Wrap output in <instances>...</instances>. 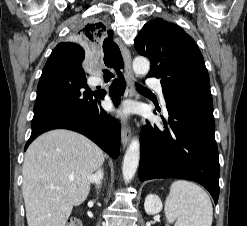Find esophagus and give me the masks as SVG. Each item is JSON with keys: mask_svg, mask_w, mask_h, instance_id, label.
<instances>
[{"mask_svg": "<svg viewBox=\"0 0 247 226\" xmlns=\"http://www.w3.org/2000/svg\"><path fill=\"white\" fill-rule=\"evenodd\" d=\"M119 48L121 50V54L124 60V76L127 83L125 98L131 99L135 96L134 74L132 70V57L129 49L124 43L119 42ZM130 137H131L130 127L124 124L121 131V141L124 148L128 145L130 141Z\"/></svg>", "mask_w": 247, "mask_h": 226, "instance_id": "esophagus-1", "label": "esophagus"}]
</instances>
